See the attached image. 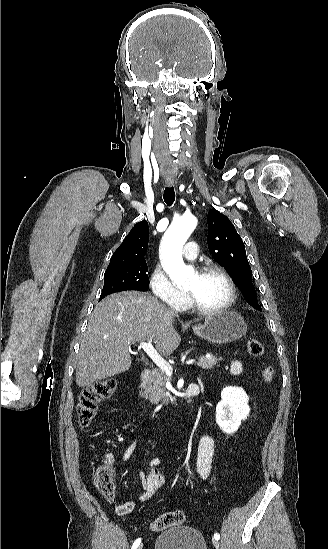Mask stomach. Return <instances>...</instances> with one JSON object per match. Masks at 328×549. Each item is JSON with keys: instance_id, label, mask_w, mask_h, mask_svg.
Instances as JSON below:
<instances>
[{"instance_id": "stomach-1", "label": "stomach", "mask_w": 328, "mask_h": 549, "mask_svg": "<svg viewBox=\"0 0 328 549\" xmlns=\"http://www.w3.org/2000/svg\"><path fill=\"white\" fill-rule=\"evenodd\" d=\"M193 331L195 335L209 343L223 345V343H233V341L245 337L247 323L237 311L224 309L217 315L205 317L203 325H195Z\"/></svg>"}]
</instances>
